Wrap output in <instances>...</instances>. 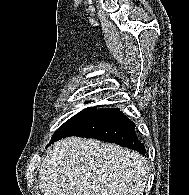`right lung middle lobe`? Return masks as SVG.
I'll return each mask as SVG.
<instances>
[{"instance_id": "1", "label": "right lung middle lobe", "mask_w": 189, "mask_h": 195, "mask_svg": "<svg viewBox=\"0 0 189 195\" xmlns=\"http://www.w3.org/2000/svg\"><path fill=\"white\" fill-rule=\"evenodd\" d=\"M96 111L97 109L95 107H88L74 115L55 131L47 146H50L62 138L73 136L87 123Z\"/></svg>"}]
</instances>
